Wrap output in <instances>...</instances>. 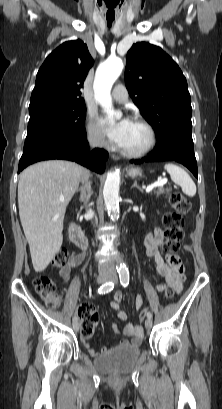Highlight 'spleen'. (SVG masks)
<instances>
[{
    "label": "spleen",
    "instance_id": "1",
    "mask_svg": "<svg viewBox=\"0 0 222 409\" xmlns=\"http://www.w3.org/2000/svg\"><path fill=\"white\" fill-rule=\"evenodd\" d=\"M165 169L172 181L182 188L184 194L190 197L196 194V185L184 169L172 163L166 164Z\"/></svg>",
    "mask_w": 222,
    "mask_h": 409
}]
</instances>
